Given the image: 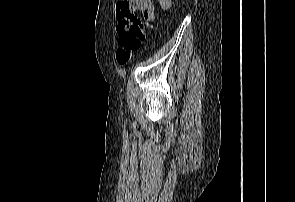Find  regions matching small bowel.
Segmentation results:
<instances>
[{
  "instance_id": "small-bowel-1",
  "label": "small bowel",
  "mask_w": 295,
  "mask_h": 202,
  "mask_svg": "<svg viewBox=\"0 0 295 202\" xmlns=\"http://www.w3.org/2000/svg\"><path fill=\"white\" fill-rule=\"evenodd\" d=\"M163 10H169L172 6L171 0H158ZM154 5L151 0H118L116 4V31L123 32L131 23H141L137 12H143L144 18L151 19Z\"/></svg>"
}]
</instances>
